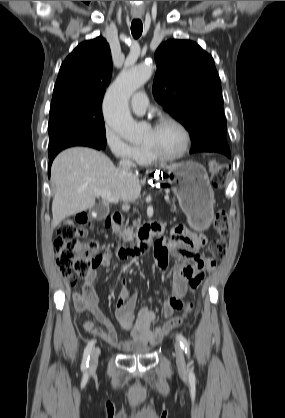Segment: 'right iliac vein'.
Returning <instances> with one entry per match:
<instances>
[{
    "instance_id": "right-iliac-vein-1",
    "label": "right iliac vein",
    "mask_w": 285,
    "mask_h": 418,
    "mask_svg": "<svg viewBox=\"0 0 285 418\" xmlns=\"http://www.w3.org/2000/svg\"><path fill=\"white\" fill-rule=\"evenodd\" d=\"M99 354H100V348L99 347L94 348L90 357V367H89L90 372H93L96 369L98 365Z\"/></svg>"
}]
</instances>
